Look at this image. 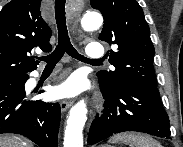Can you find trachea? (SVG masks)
Listing matches in <instances>:
<instances>
[{"label": "trachea", "mask_w": 183, "mask_h": 147, "mask_svg": "<svg viewBox=\"0 0 183 147\" xmlns=\"http://www.w3.org/2000/svg\"><path fill=\"white\" fill-rule=\"evenodd\" d=\"M65 0L55 1V17L58 28V44L55 50L47 55L40 57L39 60L46 62V67H55L65 53L72 58L82 62H100V60L88 59L79 54L70 42L68 35L66 17H65Z\"/></svg>", "instance_id": "trachea-1"}]
</instances>
